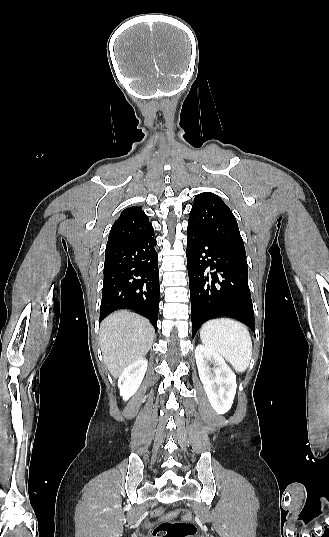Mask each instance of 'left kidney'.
<instances>
[{
  "instance_id": "obj_1",
  "label": "left kidney",
  "mask_w": 329,
  "mask_h": 537,
  "mask_svg": "<svg viewBox=\"0 0 329 537\" xmlns=\"http://www.w3.org/2000/svg\"><path fill=\"white\" fill-rule=\"evenodd\" d=\"M195 358L200 380L212 408L217 414H225L231 408L236 393V375L222 356L203 345L196 347ZM209 363L215 367L210 368Z\"/></svg>"
}]
</instances>
